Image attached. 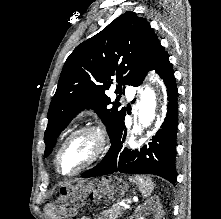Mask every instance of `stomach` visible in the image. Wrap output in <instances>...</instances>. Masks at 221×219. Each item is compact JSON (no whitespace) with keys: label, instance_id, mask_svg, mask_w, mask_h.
<instances>
[{"label":"stomach","instance_id":"0dacf381","mask_svg":"<svg viewBox=\"0 0 221 219\" xmlns=\"http://www.w3.org/2000/svg\"><path fill=\"white\" fill-rule=\"evenodd\" d=\"M89 181L84 179L65 190H57V195L61 199H73V204H90V200L95 199H122L126 195L127 184L117 177L93 178Z\"/></svg>","mask_w":221,"mask_h":219}]
</instances>
